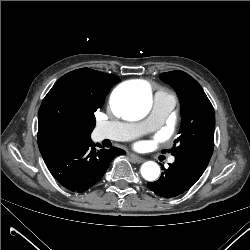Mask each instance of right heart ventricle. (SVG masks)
Segmentation results:
<instances>
[{"label": "right heart ventricle", "instance_id": "right-heart-ventricle-1", "mask_svg": "<svg viewBox=\"0 0 250 250\" xmlns=\"http://www.w3.org/2000/svg\"><path fill=\"white\" fill-rule=\"evenodd\" d=\"M161 93H164V94H167V95H170L169 93H167L166 91H160ZM171 96V95H170Z\"/></svg>", "mask_w": 250, "mask_h": 250}]
</instances>
